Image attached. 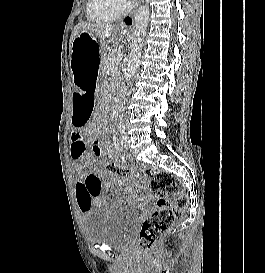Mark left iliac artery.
I'll use <instances>...</instances> for the list:
<instances>
[{
	"instance_id": "obj_1",
	"label": "left iliac artery",
	"mask_w": 265,
	"mask_h": 273,
	"mask_svg": "<svg viewBox=\"0 0 265 273\" xmlns=\"http://www.w3.org/2000/svg\"><path fill=\"white\" fill-rule=\"evenodd\" d=\"M125 125L123 123H119L118 124V130L121 132V133H125Z\"/></svg>"
}]
</instances>
